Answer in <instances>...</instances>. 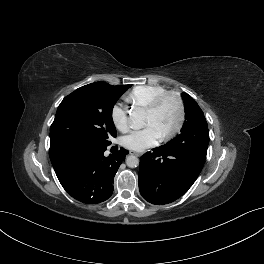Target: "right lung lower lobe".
Returning <instances> with one entry per match:
<instances>
[{"instance_id":"right-lung-lower-lobe-1","label":"right lung lower lobe","mask_w":264,"mask_h":264,"mask_svg":"<svg viewBox=\"0 0 264 264\" xmlns=\"http://www.w3.org/2000/svg\"><path fill=\"white\" fill-rule=\"evenodd\" d=\"M107 146L80 141L50 146L49 155L55 173L73 198L95 204L112 195L114 176L128 151L121 148L106 157Z\"/></svg>"}]
</instances>
